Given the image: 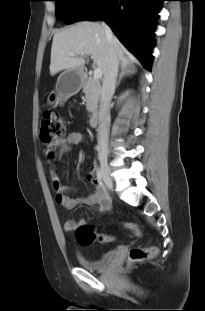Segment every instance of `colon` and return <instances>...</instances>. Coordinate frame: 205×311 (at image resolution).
<instances>
[{"label": "colon", "instance_id": "5ec220e1", "mask_svg": "<svg viewBox=\"0 0 205 311\" xmlns=\"http://www.w3.org/2000/svg\"><path fill=\"white\" fill-rule=\"evenodd\" d=\"M65 132V121L57 112H46L43 115L41 121V141L46 147H50L54 143L61 140L64 137ZM122 227L133 235L139 234V228L134 223L126 222L122 224ZM75 236L78 244L81 246H88L95 242L110 243L114 240V237L112 235L99 234L91 225L87 223L80 224L76 228ZM156 253L157 249L155 247H134L129 251L127 263H141L154 257Z\"/></svg>", "mask_w": 205, "mask_h": 311}]
</instances>
